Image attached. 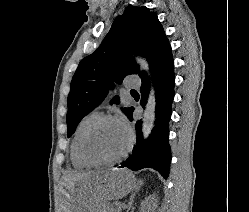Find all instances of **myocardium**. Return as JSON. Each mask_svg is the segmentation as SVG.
Masks as SVG:
<instances>
[{
  "label": "myocardium",
  "mask_w": 249,
  "mask_h": 212,
  "mask_svg": "<svg viewBox=\"0 0 249 212\" xmlns=\"http://www.w3.org/2000/svg\"><path fill=\"white\" fill-rule=\"evenodd\" d=\"M105 122H116L121 124L128 133L129 141L126 149L117 157L111 160L107 161H96L91 159L85 149L86 141L90 135V133L100 124L105 123ZM134 146V132L131 128V126L122 118L114 115H99L95 117L90 123L87 124V126L83 129L80 138L78 140V145H77V151H78V156L80 160L86 164L87 166L90 167H109L112 165L117 164L124 158L128 156V154L132 151V148Z\"/></svg>",
  "instance_id": "obj_1"
}]
</instances>
